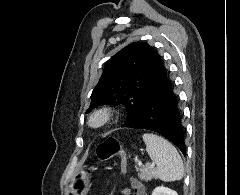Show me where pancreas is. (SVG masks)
Returning a JSON list of instances; mask_svg holds the SVG:
<instances>
[{
  "label": "pancreas",
  "instance_id": "cf45deb5",
  "mask_svg": "<svg viewBox=\"0 0 240 195\" xmlns=\"http://www.w3.org/2000/svg\"><path fill=\"white\" fill-rule=\"evenodd\" d=\"M136 169L139 171L138 175L143 181H151L152 177L158 179L157 169L152 165H142V167H136Z\"/></svg>",
  "mask_w": 240,
  "mask_h": 195
}]
</instances>
